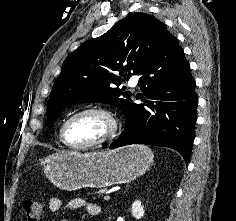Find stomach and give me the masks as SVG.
Listing matches in <instances>:
<instances>
[{"label":"stomach","mask_w":236,"mask_h":221,"mask_svg":"<svg viewBox=\"0 0 236 221\" xmlns=\"http://www.w3.org/2000/svg\"><path fill=\"white\" fill-rule=\"evenodd\" d=\"M153 157L152 150L144 145L89 153L62 151L45 158L43 170L62 190L106 188L138 178L149 169Z\"/></svg>","instance_id":"0dacf381"}]
</instances>
